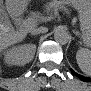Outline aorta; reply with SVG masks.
<instances>
[{
  "label": "aorta",
  "mask_w": 91,
  "mask_h": 91,
  "mask_svg": "<svg viewBox=\"0 0 91 91\" xmlns=\"http://www.w3.org/2000/svg\"><path fill=\"white\" fill-rule=\"evenodd\" d=\"M54 39L60 44H66L69 40V33L63 26H58L54 30Z\"/></svg>",
  "instance_id": "obj_1"
}]
</instances>
